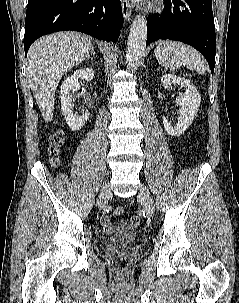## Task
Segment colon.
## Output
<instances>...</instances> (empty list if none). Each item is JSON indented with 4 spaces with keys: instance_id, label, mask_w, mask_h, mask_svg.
<instances>
[{
    "instance_id": "1",
    "label": "colon",
    "mask_w": 239,
    "mask_h": 303,
    "mask_svg": "<svg viewBox=\"0 0 239 303\" xmlns=\"http://www.w3.org/2000/svg\"><path fill=\"white\" fill-rule=\"evenodd\" d=\"M50 154L52 156V161L54 164L58 163L57 154L59 152V148L63 143V136L61 132H57L53 134L50 138ZM114 213L116 215H122L124 213V207L121 205H117L114 207ZM135 222H139V219H136Z\"/></svg>"
}]
</instances>
